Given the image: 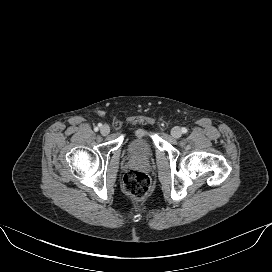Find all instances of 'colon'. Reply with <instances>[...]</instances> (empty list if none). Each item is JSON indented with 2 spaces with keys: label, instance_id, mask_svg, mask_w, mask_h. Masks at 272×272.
<instances>
[{
  "label": "colon",
  "instance_id": "colon-1",
  "mask_svg": "<svg viewBox=\"0 0 272 272\" xmlns=\"http://www.w3.org/2000/svg\"><path fill=\"white\" fill-rule=\"evenodd\" d=\"M123 189L131 198L141 200L150 192V178L141 171L130 170L123 177Z\"/></svg>",
  "mask_w": 272,
  "mask_h": 272
}]
</instances>
